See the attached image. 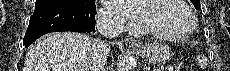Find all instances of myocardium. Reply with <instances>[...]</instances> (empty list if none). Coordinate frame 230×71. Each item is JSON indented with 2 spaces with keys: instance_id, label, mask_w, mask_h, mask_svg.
Here are the masks:
<instances>
[{
  "instance_id": "f54148a6",
  "label": "myocardium",
  "mask_w": 230,
  "mask_h": 71,
  "mask_svg": "<svg viewBox=\"0 0 230 71\" xmlns=\"http://www.w3.org/2000/svg\"><path fill=\"white\" fill-rule=\"evenodd\" d=\"M147 1H150V0H147ZM174 1H176L180 6H182L186 10V12L188 13L191 19V26L187 31L183 33H179V34H172V33L157 31L153 29L152 27H150L144 21L142 17H141V22L139 23V26L135 27L134 29H137L142 33H146L149 36L156 38V39H160V40H183L191 36L197 29V25H198L197 17L194 11L192 10V8L185 1L183 0H174Z\"/></svg>"
}]
</instances>
